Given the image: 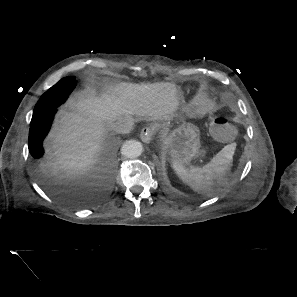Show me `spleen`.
Instances as JSON below:
<instances>
[{"label":"spleen","mask_w":297,"mask_h":297,"mask_svg":"<svg viewBox=\"0 0 297 297\" xmlns=\"http://www.w3.org/2000/svg\"><path fill=\"white\" fill-rule=\"evenodd\" d=\"M235 148V143L226 145L203 167L192 166L186 169L183 165L173 163V169L178 177L195 192L212 193L225 183Z\"/></svg>","instance_id":"1"}]
</instances>
